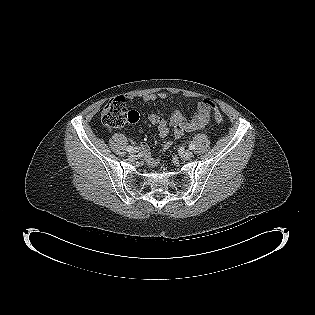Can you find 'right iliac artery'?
Here are the masks:
<instances>
[{"mask_svg": "<svg viewBox=\"0 0 315 315\" xmlns=\"http://www.w3.org/2000/svg\"><path fill=\"white\" fill-rule=\"evenodd\" d=\"M133 150H134L133 146H128V147H127V151H128V152H132Z\"/></svg>", "mask_w": 315, "mask_h": 315, "instance_id": "right-iliac-artery-1", "label": "right iliac artery"}]
</instances>
